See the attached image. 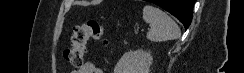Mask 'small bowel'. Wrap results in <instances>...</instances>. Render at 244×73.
<instances>
[{"mask_svg": "<svg viewBox=\"0 0 244 73\" xmlns=\"http://www.w3.org/2000/svg\"><path fill=\"white\" fill-rule=\"evenodd\" d=\"M74 73H103V71L92 62H86Z\"/></svg>", "mask_w": 244, "mask_h": 73, "instance_id": "1", "label": "small bowel"}]
</instances>
